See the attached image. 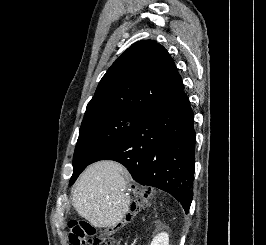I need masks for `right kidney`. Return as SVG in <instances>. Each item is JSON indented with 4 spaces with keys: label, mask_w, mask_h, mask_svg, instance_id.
Segmentation results:
<instances>
[{
    "label": "right kidney",
    "mask_w": 266,
    "mask_h": 245,
    "mask_svg": "<svg viewBox=\"0 0 266 245\" xmlns=\"http://www.w3.org/2000/svg\"><path fill=\"white\" fill-rule=\"evenodd\" d=\"M153 241H154V239H153ZM153 241H152L151 245H153Z\"/></svg>",
    "instance_id": "ca27d5eb"
}]
</instances>
